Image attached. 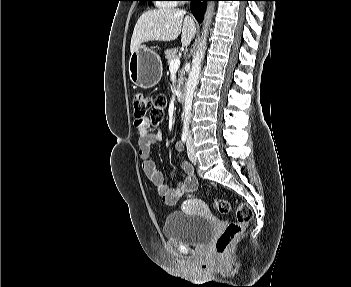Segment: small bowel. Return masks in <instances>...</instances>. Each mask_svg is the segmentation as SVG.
<instances>
[{
    "label": "small bowel",
    "instance_id": "small-bowel-1",
    "mask_svg": "<svg viewBox=\"0 0 351 287\" xmlns=\"http://www.w3.org/2000/svg\"><path fill=\"white\" fill-rule=\"evenodd\" d=\"M135 128L138 134V152L142 161V167L149 180L156 186L163 202L173 205L186 193L193 192L198 185L194 175L193 166L183 161L181 168L184 172L183 180L176 187H171L166 181L163 173L157 168L155 161L151 158V148L154 144L161 142L162 134L157 126L151 125L149 120H135ZM177 151L183 150V144H175Z\"/></svg>",
    "mask_w": 351,
    "mask_h": 287
}]
</instances>
